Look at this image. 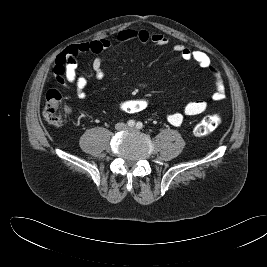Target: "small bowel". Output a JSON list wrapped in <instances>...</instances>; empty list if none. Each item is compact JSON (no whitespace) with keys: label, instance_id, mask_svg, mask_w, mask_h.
Returning a JSON list of instances; mask_svg holds the SVG:
<instances>
[{"label":"small bowel","instance_id":"1","mask_svg":"<svg viewBox=\"0 0 267 267\" xmlns=\"http://www.w3.org/2000/svg\"><path fill=\"white\" fill-rule=\"evenodd\" d=\"M125 42H152L157 46H166L169 40L166 36L157 32H149L144 29H124L120 31L113 39L102 38L90 42L73 44L68 46L60 53L53 66V75L57 82L64 88L73 85L76 90V96L79 99L86 97L87 79L77 74V57L81 54L91 53L99 55L108 49L114 43ZM173 50L186 61H193L199 67L209 71L213 78L214 91L212 99L215 101L223 100L226 96V85L222 73L214 66L209 56L201 50H191L183 44L173 45ZM92 69L97 78L104 76L101 59L96 56L92 62ZM208 108V101L199 99L188 102L184 105L182 111L171 112L167 114L168 122L173 126H181L185 116H195L204 113Z\"/></svg>","mask_w":267,"mask_h":267}]
</instances>
